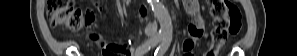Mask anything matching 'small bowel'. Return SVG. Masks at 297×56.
<instances>
[{
  "label": "small bowel",
  "instance_id": "1",
  "mask_svg": "<svg viewBox=\"0 0 297 56\" xmlns=\"http://www.w3.org/2000/svg\"><path fill=\"white\" fill-rule=\"evenodd\" d=\"M118 2V1H117ZM185 8L193 17L191 24L189 25V38L183 43L184 56H192L191 50L194 43L206 36L205 21L199 15L198 4L196 1L190 0L185 3ZM145 12H143L144 14ZM84 38L90 41V45H96V49L105 48L103 56H113L117 52H122L125 55H129L131 49L126 44H111L108 41V36H103V33H84Z\"/></svg>",
  "mask_w": 297,
  "mask_h": 56
}]
</instances>
